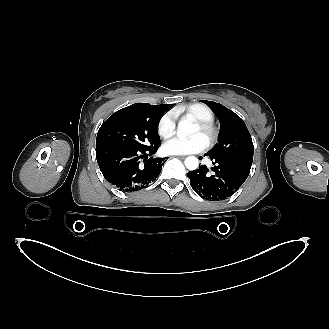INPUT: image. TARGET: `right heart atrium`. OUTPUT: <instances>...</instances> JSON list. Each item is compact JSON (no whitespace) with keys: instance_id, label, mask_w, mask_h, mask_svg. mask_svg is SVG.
I'll return each instance as SVG.
<instances>
[{"instance_id":"d8ad5b80","label":"right heart atrium","mask_w":329,"mask_h":329,"mask_svg":"<svg viewBox=\"0 0 329 329\" xmlns=\"http://www.w3.org/2000/svg\"><path fill=\"white\" fill-rule=\"evenodd\" d=\"M175 129L176 114L173 111H168L159 119L157 131L162 138L167 139L174 135Z\"/></svg>"}]
</instances>
